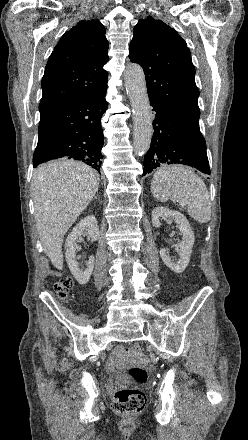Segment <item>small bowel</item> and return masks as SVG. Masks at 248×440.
<instances>
[{"label": "small bowel", "mask_w": 248, "mask_h": 440, "mask_svg": "<svg viewBox=\"0 0 248 440\" xmlns=\"http://www.w3.org/2000/svg\"><path fill=\"white\" fill-rule=\"evenodd\" d=\"M123 354H124V347L123 346L116 347L110 355L109 364L115 365L122 358Z\"/></svg>", "instance_id": "1"}]
</instances>
